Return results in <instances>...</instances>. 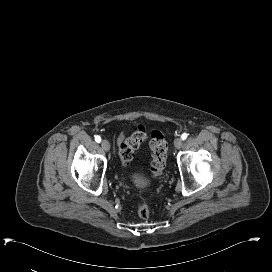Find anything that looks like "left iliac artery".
I'll return each mask as SVG.
<instances>
[{"instance_id":"obj_1","label":"left iliac artery","mask_w":272,"mask_h":272,"mask_svg":"<svg viewBox=\"0 0 272 272\" xmlns=\"http://www.w3.org/2000/svg\"><path fill=\"white\" fill-rule=\"evenodd\" d=\"M187 136H188L187 133H183V134L181 135V139H182V140H185V139L187 138Z\"/></svg>"}]
</instances>
